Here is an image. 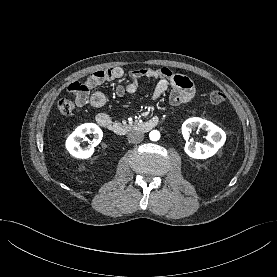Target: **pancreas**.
<instances>
[{"label":"pancreas","instance_id":"1","mask_svg":"<svg viewBox=\"0 0 277 277\" xmlns=\"http://www.w3.org/2000/svg\"><path fill=\"white\" fill-rule=\"evenodd\" d=\"M130 126H131L132 128H138V121H135L134 124L131 123Z\"/></svg>","mask_w":277,"mask_h":277}]
</instances>
